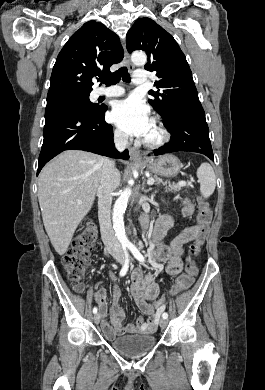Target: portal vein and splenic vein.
<instances>
[{"label":"portal vein and splenic vein","instance_id":"portal-vein-and-splenic-vein-1","mask_svg":"<svg viewBox=\"0 0 265 390\" xmlns=\"http://www.w3.org/2000/svg\"><path fill=\"white\" fill-rule=\"evenodd\" d=\"M154 182H155V180H154L153 178H149V179L147 180V184H148V185H152ZM179 183L182 184V185H185V184H186L185 181H180Z\"/></svg>","mask_w":265,"mask_h":390}]
</instances>
